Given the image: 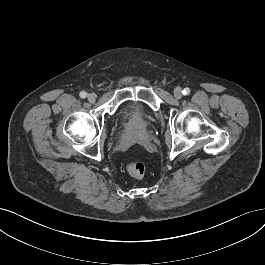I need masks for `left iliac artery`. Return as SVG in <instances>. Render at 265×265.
Wrapping results in <instances>:
<instances>
[{"label":"left iliac artery","instance_id":"44dca946","mask_svg":"<svg viewBox=\"0 0 265 265\" xmlns=\"http://www.w3.org/2000/svg\"><path fill=\"white\" fill-rule=\"evenodd\" d=\"M182 93H183L184 95L189 94V93H190V89H189V88H185V89L182 91Z\"/></svg>","mask_w":265,"mask_h":265}]
</instances>
